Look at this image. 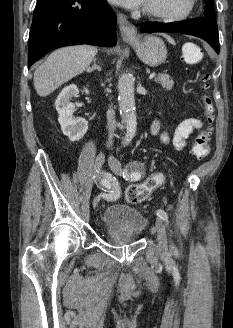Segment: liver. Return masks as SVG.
<instances>
[{
    "instance_id": "1",
    "label": "liver",
    "mask_w": 233,
    "mask_h": 328,
    "mask_svg": "<svg viewBox=\"0 0 233 328\" xmlns=\"http://www.w3.org/2000/svg\"><path fill=\"white\" fill-rule=\"evenodd\" d=\"M97 51L96 47L90 45L55 50L34 72V86L37 94L45 97L63 83L85 71Z\"/></svg>"
}]
</instances>
